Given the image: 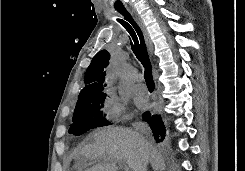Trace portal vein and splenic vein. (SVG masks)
<instances>
[{"label":"portal vein and splenic vein","mask_w":245,"mask_h":171,"mask_svg":"<svg viewBox=\"0 0 245 171\" xmlns=\"http://www.w3.org/2000/svg\"><path fill=\"white\" fill-rule=\"evenodd\" d=\"M120 166H122L125 171H130L129 167H127L125 164H123V162H120Z\"/></svg>","instance_id":"portal-vein-and-splenic-vein-1"}]
</instances>
